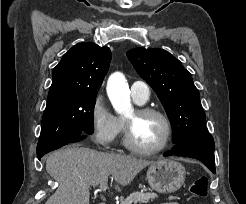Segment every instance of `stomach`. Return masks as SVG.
I'll list each match as a JSON object with an SVG mask.
<instances>
[{
	"mask_svg": "<svg viewBox=\"0 0 246 204\" xmlns=\"http://www.w3.org/2000/svg\"><path fill=\"white\" fill-rule=\"evenodd\" d=\"M186 178L185 167L171 159L159 160L147 170L151 189L159 193H173L181 188Z\"/></svg>",
	"mask_w": 246,
	"mask_h": 204,
	"instance_id": "0dacf381",
	"label": "stomach"
}]
</instances>
